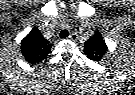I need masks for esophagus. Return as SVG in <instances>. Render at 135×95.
<instances>
[{
    "label": "esophagus",
    "mask_w": 135,
    "mask_h": 95,
    "mask_svg": "<svg viewBox=\"0 0 135 95\" xmlns=\"http://www.w3.org/2000/svg\"><path fill=\"white\" fill-rule=\"evenodd\" d=\"M77 38H78V35L77 34H75V33H72V34H70L69 36H68V40H72V41H75V40H77Z\"/></svg>",
    "instance_id": "esophagus-1"
}]
</instances>
